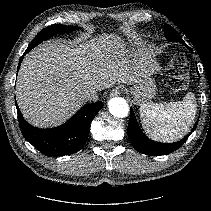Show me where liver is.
<instances>
[{
	"mask_svg": "<svg viewBox=\"0 0 211 211\" xmlns=\"http://www.w3.org/2000/svg\"><path fill=\"white\" fill-rule=\"evenodd\" d=\"M114 35L63 44L47 41L24 58L16 83V99L24 118L49 128L63 124L84 104L83 92L100 91L116 82L133 84L147 67L151 53L137 50L130 60Z\"/></svg>",
	"mask_w": 211,
	"mask_h": 211,
	"instance_id": "6515ba94",
	"label": "liver"
}]
</instances>
